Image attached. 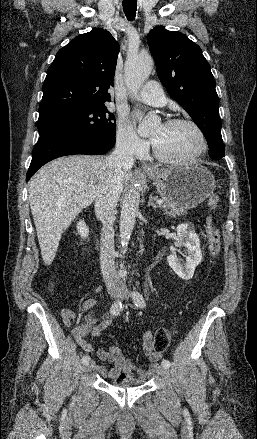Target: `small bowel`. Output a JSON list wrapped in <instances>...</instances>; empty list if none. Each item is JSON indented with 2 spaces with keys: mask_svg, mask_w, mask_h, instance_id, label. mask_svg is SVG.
I'll return each instance as SVG.
<instances>
[{
  "mask_svg": "<svg viewBox=\"0 0 257 439\" xmlns=\"http://www.w3.org/2000/svg\"><path fill=\"white\" fill-rule=\"evenodd\" d=\"M96 302L94 300H87L82 309L87 312L83 322L74 330V336L77 343L85 353H96L97 356L104 362L113 365L107 371V377L111 379L122 376L129 383L134 385H141L147 382L156 373L157 362L162 358L160 352H156L153 347V332L145 331L141 335V347L145 356L153 362L149 369L137 367L130 359L126 357V351L121 345L111 346L109 349H98L87 340L88 336L98 337L102 332L107 330L111 325V319L105 318L98 320L96 314ZM62 318L65 325L69 326L75 319V313L71 310H65L62 313ZM93 368H98L95 361H92Z\"/></svg>",
  "mask_w": 257,
  "mask_h": 439,
  "instance_id": "c3829d8e",
  "label": "small bowel"
}]
</instances>
